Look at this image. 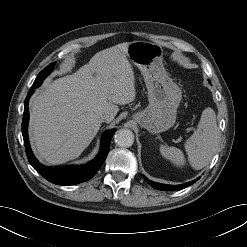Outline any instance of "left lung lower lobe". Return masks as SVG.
I'll list each match as a JSON object with an SVG mask.
<instances>
[{
    "instance_id": "1",
    "label": "left lung lower lobe",
    "mask_w": 247,
    "mask_h": 247,
    "mask_svg": "<svg viewBox=\"0 0 247 247\" xmlns=\"http://www.w3.org/2000/svg\"><path fill=\"white\" fill-rule=\"evenodd\" d=\"M199 178H197L196 180H198ZM144 179L153 188H155L157 190H162V191H176V190H181V189H184V188L192 185L194 182H196V180H194V181L187 182V183H184V184H181V185H166V184H161V183H156V182L150 181V180H148L145 177H144Z\"/></svg>"
}]
</instances>
